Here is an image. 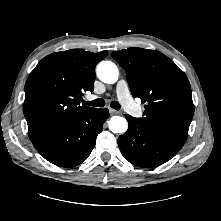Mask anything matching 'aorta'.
<instances>
[{
	"instance_id": "aorta-1",
	"label": "aorta",
	"mask_w": 221,
	"mask_h": 221,
	"mask_svg": "<svg viewBox=\"0 0 221 221\" xmlns=\"http://www.w3.org/2000/svg\"><path fill=\"white\" fill-rule=\"evenodd\" d=\"M96 73L98 78L107 84L116 83L119 77L117 66L110 61H102L97 65ZM109 129L113 133H124L128 128L125 118L113 116L109 121Z\"/></svg>"
}]
</instances>
